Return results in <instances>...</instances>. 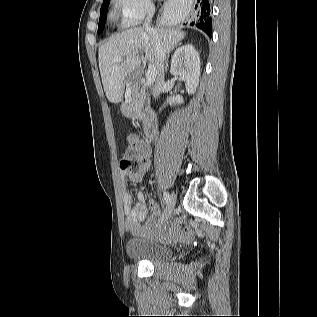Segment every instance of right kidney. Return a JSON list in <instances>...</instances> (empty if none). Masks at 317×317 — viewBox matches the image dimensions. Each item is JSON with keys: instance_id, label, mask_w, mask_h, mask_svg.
Here are the masks:
<instances>
[{"instance_id": "obj_1", "label": "right kidney", "mask_w": 317, "mask_h": 317, "mask_svg": "<svg viewBox=\"0 0 317 317\" xmlns=\"http://www.w3.org/2000/svg\"><path fill=\"white\" fill-rule=\"evenodd\" d=\"M170 72L174 76H180L185 81L188 94H194L199 84L200 57L199 52L192 44L178 48L172 56ZM170 105L182 104L183 97L180 95L167 98Z\"/></svg>"}]
</instances>
